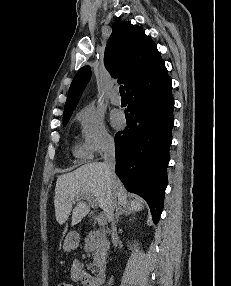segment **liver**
<instances>
[{"label":"liver","instance_id":"liver-1","mask_svg":"<svg viewBox=\"0 0 231 286\" xmlns=\"http://www.w3.org/2000/svg\"><path fill=\"white\" fill-rule=\"evenodd\" d=\"M112 194L115 201L117 199V203L122 206L137 212L144 209L142 199L127 200L126 190L121 181L117 177L114 181L109 179L104 163L85 164L70 173L60 175L56 181L54 196L56 220L62 225L72 212L71 225L79 223L89 213L90 207L82 201H79L75 208L72 204L76 199L81 200L85 196L95 197L106 218L110 220L108 210Z\"/></svg>","mask_w":231,"mask_h":286}]
</instances>
